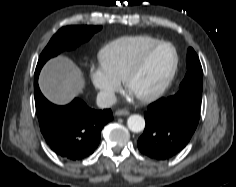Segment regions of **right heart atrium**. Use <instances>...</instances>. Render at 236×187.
Returning a JSON list of instances; mask_svg holds the SVG:
<instances>
[{
  "mask_svg": "<svg viewBox=\"0 0 236 187\" xmlns=\"http://www.w3.org/2000/svg\"><path fill=\"white\" fill-rule=\"evenodd\" d=\"M89 76L94 87L99 91L101 98L112 103L116 98V93L121 88V81L106 71L101 65H91Z\"/></svg>",
  "mask_w": 236,
  "mask_h": 187,
  "instance_id": "d8ad5b80",
  "label": "right heart atrium"
}]
</instances>
